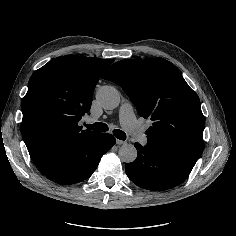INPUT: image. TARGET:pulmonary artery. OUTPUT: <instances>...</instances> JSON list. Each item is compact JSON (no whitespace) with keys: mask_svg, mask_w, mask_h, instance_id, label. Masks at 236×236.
Listing matches in <instances>:
<instances>
[{"mask_svg":"<svg viewBox=\"0 0 236 236\" xmlns=\"http://www.w3.org/2000/svg\"><path fill=\"white\" fill-rule=\"evenodd\" d=\"M121 120L123 121V126L126 128L128 133L133 137L136 142H141L142 145L147 144V138L144 137L142 129L137 124L133 109L130 106H123L120 109Z\"/></svg>","mask_w":236,"mask_h":236,"instance_id":"obj_1","label":"pulmonary artery"}]
</instances>
